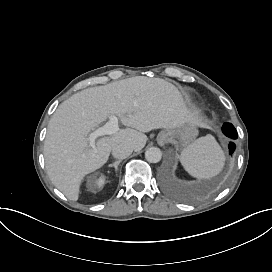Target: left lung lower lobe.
<instances>
[{
	"label": "left lung lower lobe",
	"mask_w": 272,
	"mask_h": 272,
	"mask_svg": "<svg viewBox=\"0 0 272 272\" xmlns=\"http://www.w3.org/2000/svg\"><path fill=\"white\" fill-rule=\"evenodd\" d=\"M228 138H230V139H232V140H235V139H237V135H232V134H230V133H226L225 134ZM229 153L230 154H232L233 152H234V150H235V144L233 143V142H230L229 143Z\"/></svg>",
	"instance_id": "1"
}]
</instances>
